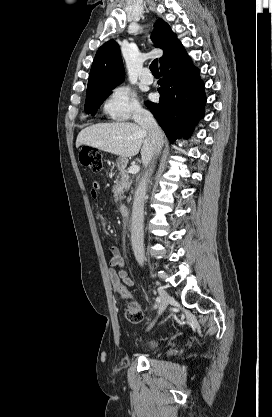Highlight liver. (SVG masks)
<instances>
[{
  "instance_id": "obj_1",
  "label": "liver",
  "mask_w": 272,
  "mask_h": 417,
  "mask_svg": "<svg viewBox=\"0 0 272 417\" xmlns=\"http://www.w3.org/2000/svg\"><path fill=\"white\" fill-rule=\"evenodd\" d=\"M81 145L125 158L137 155L141 149L144 166H147L153 157V144L148 131L135 123H100L86 127L80 131L76 139V147Z\"/></svg>"
}]
</instances>
